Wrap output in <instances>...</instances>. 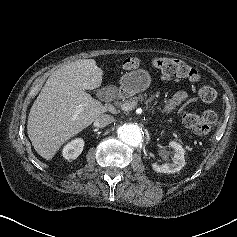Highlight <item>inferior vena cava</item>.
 Here are the masks:
<instances>
[{
  "mask_svg": "<svg viewBox=\"0 0 237 237\" xmlns=\"http://www.w3.org/2000/svg\"><path fill=\"white\" fill-rule=\"evenodd\" d=\"M114 121V117L109 114H102L94 121L95 127H105Z\"/></svg>",
  "mask_w": 237,
  "mask_h": 237,
  "instance_id": "602c4592",
  "label": "inferior vena cava"
}]
</instances>
